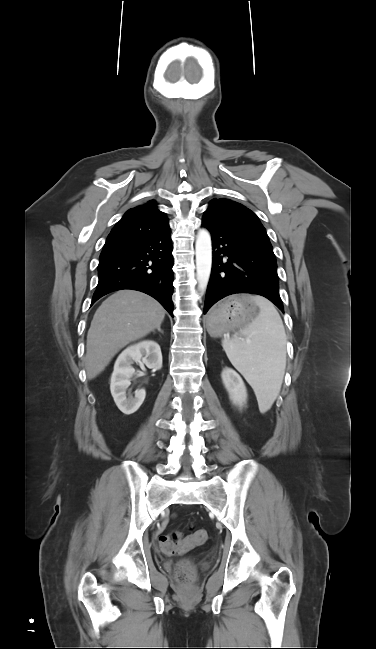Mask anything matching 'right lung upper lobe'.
<instances>
[{
	"mask_svg": "<svg viewBox=\"0 0 376 649\" xmlns=\"http://www.w3.org/2000/svg\"><path fill=\"white\" fill-rule=\"evenodd\" d=\"M167 229L170 228L165 213L158 210L156 202L151 200L129 209L112 229L103 248L122 245Z\"/></svg>",
	"mask_w": 376,
	"mask_h": 649,
	"instance_id": "right-lung-upper-lobe-1",
	"label": "right lung upper lobe"
}]
</instances>
